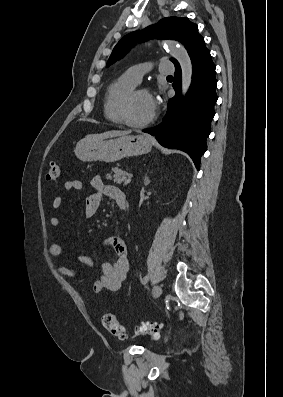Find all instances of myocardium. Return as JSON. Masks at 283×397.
Segmentation results:
<instances>
[{"label":"myocardium","mask_w":283,"mask_h":397,"mask_svg":"<svg viewBox=\"0 0 283 397\" xmlns=\"http://www.w3.org/2000/svg\"><path fill=\"white\" fill-rule=\"evenodd\" d=\"M140 92H144V93H147L148 95H150V93L147 89L142 88V87H134L123 97V99L120 103L119 112H120V117L122 119V122L125 125L132 127V128L145 127V126L149 125L150 123H152L156 117V115L153 114L149 119L142 121V122H135L131 119L130 106H131V103H132V100L134 99V97Z\"/></svg>","instance_id":"myocardium-1"}]
</instances>
